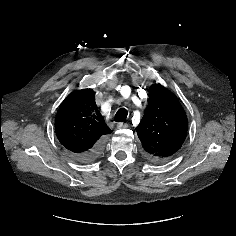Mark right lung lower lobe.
Here are the masks:
<instances>
[{"mask_svg": "<svg viewBox=\"0 0 236 236\" xmlns=\"http://www.w3.org/2000/svg\"><path fill=\"white\" fill-rule=\"evenodd\" d=\"M104 148V140H99L91 149L83 153H73L72 156L75 160L88 163L94 161L99 157Z\"/></svg>", "mask_w": 236, "mask_h": 236, "instance_id": "98d812e1", "label": "right lung lower lobe"}]
</instances>
